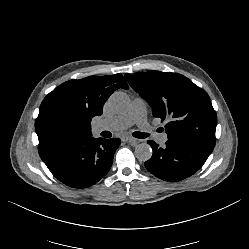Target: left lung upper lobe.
<instances>
[{"instance_id":"1","label":"left lung upper lobe","mask_w":249,"mask_h":249,"mask_svg":"<svg viewBox=\"0 0 249 249\" xmlns=\"http://www.w3.org/2000/svg\"><path fill=\"white\" fill-rule=\"evenodd\" d=\"M130 86L164 121L168 139L215 146L217 115L208 94L187 77L170 72L125 74Z\"/></svg>"}]
</instances>
